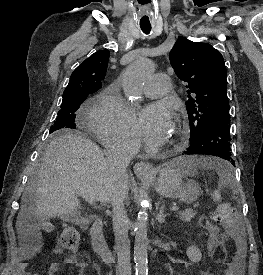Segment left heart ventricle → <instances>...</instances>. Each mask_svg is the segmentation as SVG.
Returning <instances> with one entry per match:
<instances>
[{"label": "left heart ventricle", "mask_w": 263, "mask_h": 275, "mask_svg": "<svg viewBox=\"0 0 263 275\" xmlns=\"http://www.w3.org/2000/svg\"><path fill=\"white\" fill-rule=\"evenodd\" d=\"M176 137V129H175V126L172 125V127L170 128L169 132L166 134L164 140H163V143L164 144H168L170 143L171 141H173Z\"/></svg>", "instance_id": "obj_1"}]
</instances>
